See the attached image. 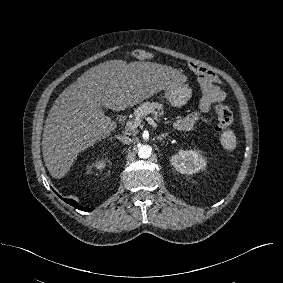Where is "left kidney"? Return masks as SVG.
<instances>
[{
  "label": "left kidney",
  "instance_id": "1",
  "mask_svg": "<svg viewBox=\"0 0 283 283\" xmlns=\"http://www.w3.org/2000/svg\"><path fill=\"white\" fill-rule=\"evenodd\" d=\"M171 164L182 174H194L206 166V160L198 150H180L172 156Z\"/></svg>",
  "mask_w": 283,
  "mask_h": 283
}]
</instances>
